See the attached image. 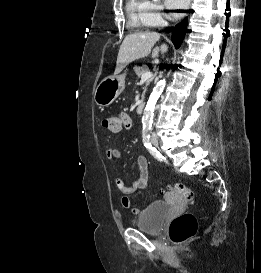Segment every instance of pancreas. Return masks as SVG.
<instances>
[{"label": "pancreas", "mask_w": 261, "mask_h": 273, "mask_svg": "<svg viewBox=\"0 0 261 273\" xmlns=\"http://www.w3.org/2000/svg\"><path fill=\"white\" fill-rule=\"evenodd\" d=\"M148 70H149L148 67L145 66V65H143L141 67H135L134 68V71H135V73H136V75L138 77H141L142 74L148 72ZM150 82H151V79H148L147 82H146V86H148L150 84ZM145 91H146V89H145Z\"/></svg>", "instance_id": "cf45deb5"}]
</instances>
